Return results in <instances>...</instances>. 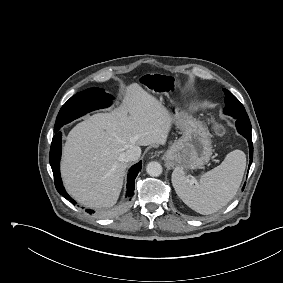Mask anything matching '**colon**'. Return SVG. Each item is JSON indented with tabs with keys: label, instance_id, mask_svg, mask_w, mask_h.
<instances>
[{
	"label": "colon",
	"instance_id": "1",
	"mask_svg": "<svg viewBox=\"0 0 283 283\" xmlns=\"http://www.w3.org/2000/svg\"><path fill=\"white\" fill-rule=\"evenodd\" d=\"M142 84L157 93H166L173 88V81L169 77L161 75L145 76L142 79ZM213 127L218 135H224L226 133L225 126L219 121H214Z\"/></svg>",
	"mask_w": 283,
	"mask_h": 283
}]
</instances>
